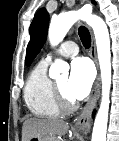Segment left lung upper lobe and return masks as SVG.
I'll use <instances>...</instances> for the list:
<instances>
[{
	"label": "left lung upper lobe",
	"mask_w": 119,
	"mask_h": 141,
	"mask_svg": "<svg viewBox=\"0 0 119 141\" xmlns=\"http://www.w3.org/2000/svg\"><path fill=\"white\" fill-rule=\"evenodd\" d=\"M92 3L96 4L94 0ZM49 15L45 8L40 9L30 25V41L27 47L26 65L29 66L45 43Z\"/></svg>",
	"instance_id": "1"
}]
</instances>
